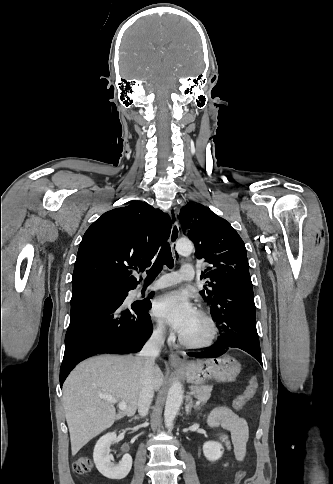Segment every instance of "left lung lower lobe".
I'll list each match as a JSON object with an SVG mask.
<instances>
[{"label":"left lung lower lobe","mask_w":333,"mask_h":484,"mask_svg":"<svg viewBox=\"0 0 333 484\" xmlns=\"http://www.w3.org/2000/svg\"><path fill=\"white\" fill-rule=\"evenodd\" d=\"M215 304L211 305L212 318L218 323L221 336L211 347L198 353H188L198 358H214L230 348H239L262 365L259 338L256 330L255 304L252 282L248 269L225 275L219 283Z\"/></svg>","instance_id":"obj_1"}]
</instances>
